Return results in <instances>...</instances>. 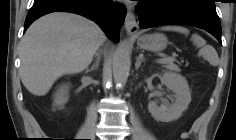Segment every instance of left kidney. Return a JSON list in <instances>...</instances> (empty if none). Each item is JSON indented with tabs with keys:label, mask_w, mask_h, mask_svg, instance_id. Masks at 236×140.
Instances as JSON below:
<instances>
[{
	"label": "left kidney",
	"mask_w": 236,
	"mask_h": 140,
	"mask_svg": "<svg viewBox=\"0 0 236 140\" xmlns=\"http://www.w3.org/2000/svg\"><path fill=\"white\" fill-rule=\"evenodd\" d=\"M163 83L175 94V102L169 106H158L151 101L148 110L154 119L162 122H170L179 118L191 102V94L187 80L178 73H163Z\"/></svg>",
	"instance_id": "5707ae66"
}]
</instances>
